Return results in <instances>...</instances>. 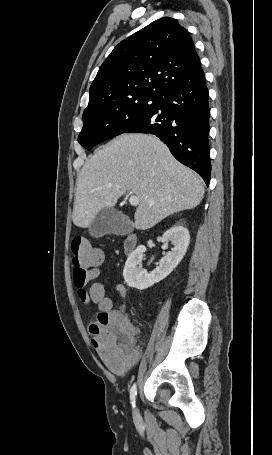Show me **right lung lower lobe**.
Instances as JSON below:
<instances>
[{
    "label": "right lung lower lobe",
    "instance_id": "98d812e1",
    "mask_svg": "<svg viewBox=\"0 0 272 455\" xmlns=\"http://www.w3.org/2000/svg\"><path fill=\"white\" fill-rule=\"evenodd\" d=\"M125 133L154 134L182 164L210 182L208 89L205 75L166 92L156 109Z\"/></svg>",
    "mask_w": 272,
    "mask_h": 455
}]
</instances>
